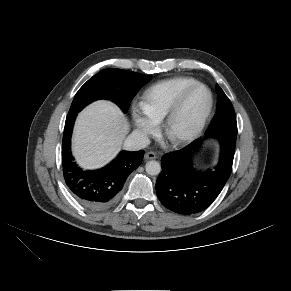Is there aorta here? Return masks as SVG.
<instances>
[{"label":"aorta","mask_w":291,"mask_h":291,"mask_svg":"<svg viewBox=\"0 0 291 291\" xmlns=\"http://www.w3.org/2000/svg\"><path fill=\"white\" fill-rule=\"evenodd\" d=\"M146 172L149 175H158L161 172V165L157 161H148L145 165Z\"/></svg>","instance_id":"aorta-1"}]
</instances>
